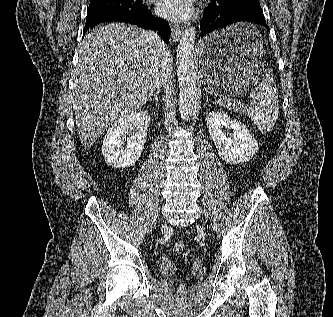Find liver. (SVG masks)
<instances>
[{
  "label": "liver",
  "instance_id": "liver-1",
  "mask_svg": "<svg viewBox=\"0 0 333 317\" xmlns=\"http://www.w3.org/2000/svg\"><path fill=\"white\" fill-rule=\"evenodd\" d=\"M162 49L155 33L125 23L102 25L86 35L73 88L75 121L85 149L150 98ZM166 52L169 78L172 59Z\"/></svg>",
  "mask_w": 333,
  "mask_h": 317
}]
</instances>
